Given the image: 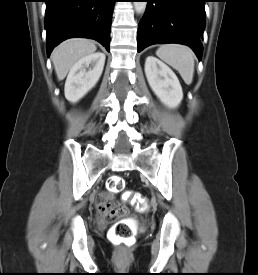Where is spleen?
<instances>
[{
    "instance_id": "1",
    "label": "spleen",
    "mask_w": 258,
    "mask_h": 275,
    "mask_svg": "<svg viewBox=\"0 0 258 275\" xmlns=\"http://www.w3.org/2000/svg\"><path fill=\"white\" fill-rule=\"evenodd\" d=\"M156 55L176 69L187 85L193 81L195 54L185 45L166 44L156 51Z\"/></svg>"
}]
</instances>
